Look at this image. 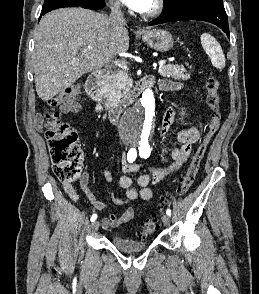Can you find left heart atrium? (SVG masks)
<instances>
[{
    "label": "left heart atrium",
    "mask_w": 259,
    "mask_h": 294,
    "mask_svg": "<svg viewBox=\"0 0 259 294\" xmlns=\"http://www.w3.org/2000/svg\"><path fill=\"white\" fill-rule=\"evenodd\" d=\"M125 5L135 11L142 12L150 0H121Z\"/></svg>",
    "instance_id": "39dd6f15"
}]
</instances>
